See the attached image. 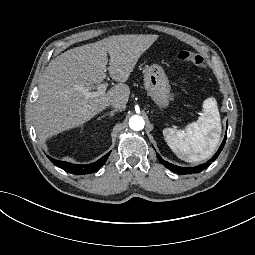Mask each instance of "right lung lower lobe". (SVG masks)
Masks as SVG:
<instances>
[{"mask_svg":"<svg viewBox=\"0 0 255 255\" xmlns=\"http://www.w3.org/2000/svg\"><path fill=\"white\" fill-rule=\"evenodd\" d=\"M109 155H110V152L107 153L102 158H100L98 161L91 164H85V165H76V164H71L65 161L55 160L50 157L48 158L54 165L63 169L64 171L72 173V174L82 175V174H90L100 169L103 166V164L106 162Z\"/></svg>","mask_w":255,"mask_h":255,"instance_id":"98d812e1","label":"right lung lower lobe"}]
</instances>
